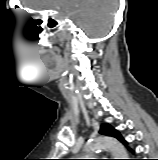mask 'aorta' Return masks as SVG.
Segmentation results:
<instances>
[{
  "label": "aorta",
  "mask_w": 158,
  "mask_h": 160,
  "mask_svg": "<svg viewBox=\"0 0 158 160\" xmlns=\"http://www.w3.org/2000/svg\"><path fill=\"white\" fill-rule=\"evenodd\" d=\"M107 148L111 151L114 159H128V154L124 148V146L118 142L117 140L110 137H99L92 140L85 150L87 152L94 151L98 149Z\"/></svg>",
  "instance_id": "1"
}]
</instances>
